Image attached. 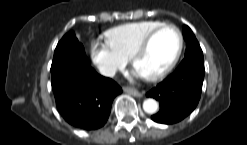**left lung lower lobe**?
I'll use <instances>...</instances> for the list:
<instances>
[{
  "label": "left lung lower lobe",
  "mask_w": 247,
  "mask_h": 145,
  "mask_svg": "<svg viewBox=\"0 0 247 145\" xmlns=\"http://www.w3.org/2000/svg\"><path fill=\"white\" fill-rule=\"evenodd\" d=\"M203 79V56L184 57L169 77L147 93L160 102V111L152 120L172 124L187 117L199 102Z\"/></svg>",
  "instance_id": "0a47b994"
}]
</instances>
